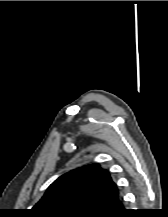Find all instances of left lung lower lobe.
<instances>
[{
  "label": "left lung lower lobe",
  "instance_id": "obj_1",
  "mask_svg": "<svg viewBox=\"0 0 168 217\" xmlns=\"http://www.w3.org/2000/svg\"><path fill=\"white\" fill-rule=\"evenodd\" d=\"M128 210L124 208L123 199L119 195L100 217H127Z\"/></svg>",
  "mask_w": 168,
  "mask_h": 217
}]
</instances>
